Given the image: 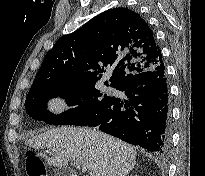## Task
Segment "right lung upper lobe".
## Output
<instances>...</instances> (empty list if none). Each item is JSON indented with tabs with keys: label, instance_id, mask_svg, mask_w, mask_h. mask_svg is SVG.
<instances>
[{
	"label": "right lung upper lobe",
	"instance_id": "1",
	"mask_svg": "<svg viewBox=\"0 0 205 176\" xmlns=\"http://www.w3.org/2000/svg\"><path fill=\"white\" fill-rule=\"evenodd\" d=\"M163 64L146 21L132 10L113 8L57 40L29 93L54 85H95L110 66L114 68L110 82L117 87L133 75Z\"/></svg>",
	"mask_w": 205,
	"mask_h": 176
}]
</instances>
